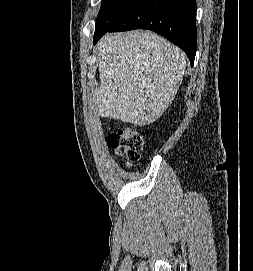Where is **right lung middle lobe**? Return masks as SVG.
Segmentation results:
<instances>
[{
    "mask_svg": "<svg viewBox=\"0 0 253 271\" xmlns=\"http://www.w3.org/2000/svg\"><path fill=\"white\" fill-rule=\"evenodd\" d=\"M134 0H102L95 25V33L103 32L113 26Z\"/></svg>",
    "mask_w": 253,
    "mask_h": 271,
    "instance_id": "dd1d6c3e",
    "label": "right lung middle lobe"
}]
</instances>
